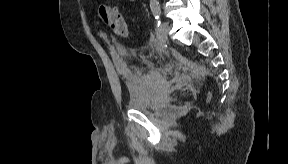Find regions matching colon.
<instances>
[{"label":"colon","mask_w":288,"mask_h":164,"mask_svg":"<svg viewBox=\"0 0 288 164\" xmlns=\"http://www.w3.org/2000/svg\"><path fill=\"white\" fill-rule=\"evenodd\" d=\"M101 18L108 24L112 31L119 34H125L126 21L117 7H104L101 11Z\"/></svg>","instance_id":"obj_1"}]
</instances>
